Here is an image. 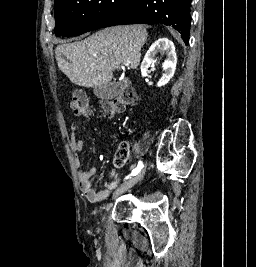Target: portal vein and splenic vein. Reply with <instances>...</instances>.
<instances>
[{"mask_svg": "<svg viewBox=\"0 0 256 267\" xmlns=\"http://www.w3.org/2000/svg\"><path fill=\"white\" fill-rule=\"evenodd\" d=\"M124 66H130V64H124Z\"/></svg>", "mask_w": 256, "mask_h": 267, "instance_id": "18ae733b", "label": "portal vein and splenic vein"}]
</instances>
